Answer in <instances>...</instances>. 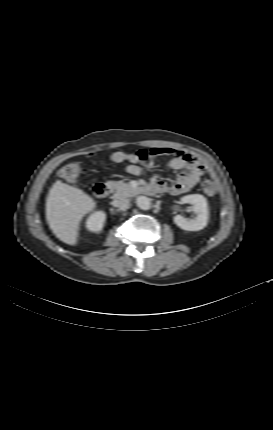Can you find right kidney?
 Segmentation results:
<instances>
[{
	"mask_svg": "<svg viewBox=\"0 0 273 430\" xmlns=\"http://www.w3.org/2000/svg\"><path fill=\"white\" fill-rule=\"evenodd\" d=\"M106 215L103 211L93 213L86 222V227L92 232H99L102 230Z\"/></svg>",
	"mask_w": 273,
	"mask_h": 430,
	"instance_id": "right-kidney-1",
	"label": "right kidney"
}]
</instances>
